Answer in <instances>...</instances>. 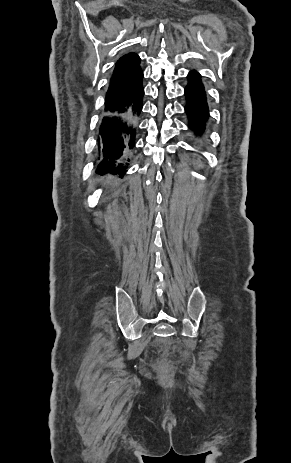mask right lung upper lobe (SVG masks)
I'll return each mask as SVG.
<instances>
[{
    "instance_id": "right-lung-upper-lobe-1",
    "label": "right lung upper lobe",
    "mask_w": 291,
    "mask_h": 463,
    "mask_svg": "<svg viewBox=\"0 0 291 463\" xmlns=\"http://www.w3.org/2000/svg\"><path fill=\"white\" fill-rule=\"evenodd\" d=\"M139 64L140 58L135 53H128L117 61L106 94L105 107L124 96L131 84L135 82L137 75L142 72Z\"/></svg>"
}]
</instances>
